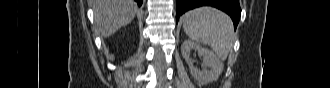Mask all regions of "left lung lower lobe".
Wrapping results in <instances>:
<instances>
[{
    "instance_id": "1",
    "label": "left lung lower lobe",
    "mask_w": 330,
    "mask_h": 88,
    "mask_svg": "<svg viewBox=\"0 0 330 88\" xmlns=\"http://www.w3.org/2000/svg\"><path fill=\"white\" fill-rule=\"evenodd\" d=\"M200 6H213L226 12L232 18L236 29L241 15L239 0H177L176 22L183 13Z\"/></svg>"
}]
</instances>
